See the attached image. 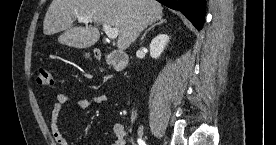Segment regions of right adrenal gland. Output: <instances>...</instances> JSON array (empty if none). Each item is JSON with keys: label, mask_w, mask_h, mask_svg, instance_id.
Masks as SVG:
<instances>
[{"label": "right adrenal gland", "mask_w": 276, "mask_h": 145, "mask_svg": "<svg viewBox=\"0 0 276 145\" xmlns=\"http://www.w3.org/2000/svg\"><path fill=\"white\" fill-rule=\"evenodd\" d=\"M165 22H166L165 19H160V21H159L158 23H156V24L152 25L151 27H149V29H147V30L145 31V33L143 34V36L141 37V40L144 39V37L146 36V34H147L150 30L154 29L156 26L161 25V24H163V23H165Z\"/></svg>", "instance_id": "1"}]
</instances>
